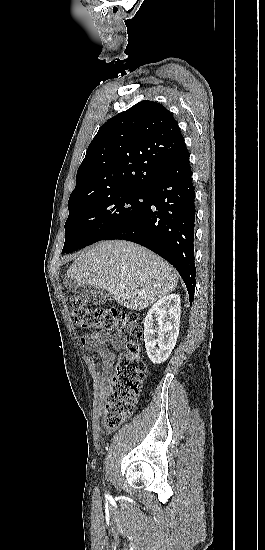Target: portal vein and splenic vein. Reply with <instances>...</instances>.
I'll return each mask as SVG.
<instances>
[{
	"instance_id": "obj_1",
	"label": "portal vein and splenic vein",
	"mask_w": 265,
	"mask_h": 550,
	"mask_svg": "<svg viewBox=\"0 0 265 550\" xmlns=\"http://www.w3.org/2000/svg\"><path fill=\"white\" fill-rule=\"evenodd\" d=\"M119 288L122 289V290H124V289H125V285L120 284V285H119Z\"/></svg>"
}]
</instances>
